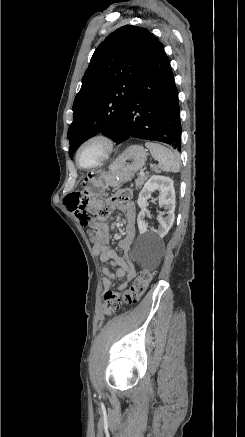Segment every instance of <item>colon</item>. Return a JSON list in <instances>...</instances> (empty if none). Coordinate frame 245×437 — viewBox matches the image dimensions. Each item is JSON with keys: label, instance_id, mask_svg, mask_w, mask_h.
Segmentation results:
<instances>
[{"label": "colon", "instance_id": "colon-1", "mask_svg": "<svg viewBox=\"0 0 245 437\" xmlns=\"http://www.w3.org/2000/svg\"><path fill=\"white\" fill-rule=\"evenodd\" d=\"M130 195L129 190L123 189L118 191L112 198L100 201L94 212L95 219L97 221L105 220L109 216L113 204L127 202L130 199ZM154 275L155 271L153 269L144 268L138 273L128 289L122 292L106 291L103 303L104 314L106 316H112L117 313L123 305L137 303L152 282Z\"/></svg>", "mask_w": 245, "mask_h": 437}]
</instances>
